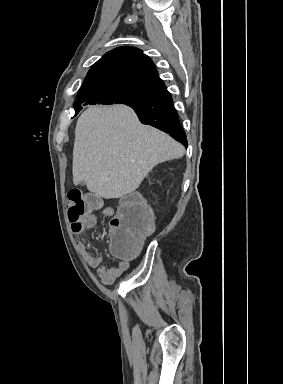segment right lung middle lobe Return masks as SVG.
Here are the masks:
<instances>
[{
	"label": "right lung middle lobe",
	"mask_w": 283,
	"mask_h": 384,
	"mask_svg": "<svg viewBox=\"0 0 283 384\" xmlns=\"http://www.w3.org/2000/svg\"><path fill=\"white\" fill-rule=\"evenodd\" d=\"M156 94L154 91L122 84H100L81 88L74 103L75 115L83 108L82 105L121 103L139 106L151 102Z\"/></svg>",
	"instance_id": "dd1d6c3e"
}]
</instances>
